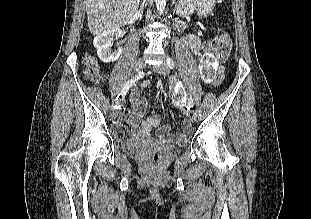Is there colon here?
Instances as JSON below:
<instances>
[{"label": "colon", "instance_id": "5ec220e1", "mask_svg": "<svg viewBox=\"0 0 311 219\" xmlns=\"http://www.w3.org/2000/svg\"><path fill=\"white\" fill-rule=\"evenodd\" d=\"M208 48V52L202 57L200 67L201 76L207 82L213 80L216 76H220L222 78V71L218 67V64L224 62L230 54L232 48L231 36L226 32L216 33L209 42ZM84 65L85 75L89 80L98 82L102 79V73L92 56L86 55L84 57ZM119 136L123 140L129 139V136H121L120 134ZM162 158V152L155 151L151 155L152 165H158Z\"/></svg>", "mask_w": 311, "mask_h": 219}]
</instances>
